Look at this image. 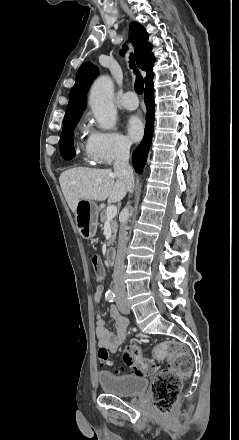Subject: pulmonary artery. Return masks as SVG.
<instances>
[{
    "mask_svg": "<svg viewBox=\"0 0 239 440\" xmlns=\"http://www.w3.org/2000/svg\"><path fill=\"white\" fill-rule=\"evenodd\" d=\"M135 96V93L132 91L126 92L120 99V105L128 110H134L138 107L137 102H132L129 100L130 97Z\"/></svg>",
    "mask_w": 239,
    "mask_h": 440,
    "instance_id": "1",
    "label": "pulmonary artery"
}]
</instances>
